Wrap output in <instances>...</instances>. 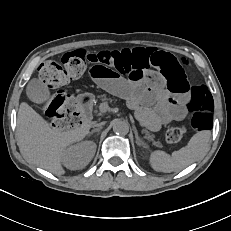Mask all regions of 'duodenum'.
<instances>
[{"label":"duodenum","mask_w":231,"mask_h":231,"mask_svg":"<svg viewBox=\"0 0 231 231\" xmlns=\"http://www.w3.org/2000/svg\"><path fill=\"white\" fill-rule=\"evenodd\" d=\"M81 120L83 123H87L91 120L92 103L88 98L81 99L78 102Z\"/></svg>","instance_id":"1"}]
</instances>
